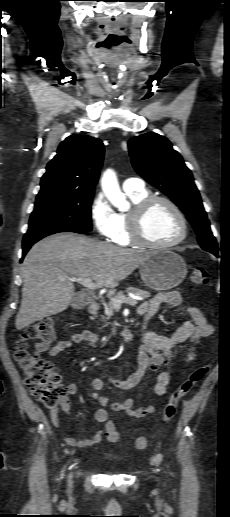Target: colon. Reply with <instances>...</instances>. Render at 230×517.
I'll return each mask as SVG.
<instances>
[{
  "mask_svg": "<svg viewBox=\"0 0 230 517\" xmlns=\"http://www.w3.org/2000/svg\"><path fill=\"white\" fill-rule=\"evenodd\" d=\"M209 281V273L204 267H196L191 275V282L195 286H204ZM55 338L54 323L44 318L28 325L16 342L15 360L18 363L25 383L34 398L47 408H55L66 393L65 386L61 383V376L57 368L39 355L28 350V341L40 340L50 342ZM210 371V365H202L196 368L188 378L183 381L170 395L162 415L164 422L170 421L177 406L192 388L202 381ZM108 439L112 442L118 440V434L113 425L108 426ZM147 439L138 436L135 439V447L139 450L145 449Z\"/></svg>",
  "mask_w": 230,
  "mask_h": 517,
  "instance_id": "obj_1",
  "label": "colon"
}]
</instances>
